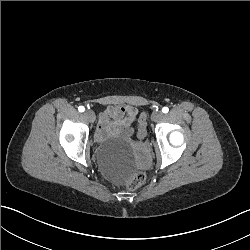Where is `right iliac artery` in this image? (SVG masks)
Here are the masks:
<instances>
[{
	"instance_id": "obj_1",
	"label": "right iliac artery",
	"mask_w": 250,
	"mask_h": 250,
	"mask_svg": "<svg viewBox=\"0 0 250 250\" xmlns=\"http://www.w3.org/2000/svg\"><path fill=\"white\" fill-rule=\"evenodd\" d=\"M79 112H84L85 108L83 106L78 107Z\"/></svg>"
}]
</instances>
